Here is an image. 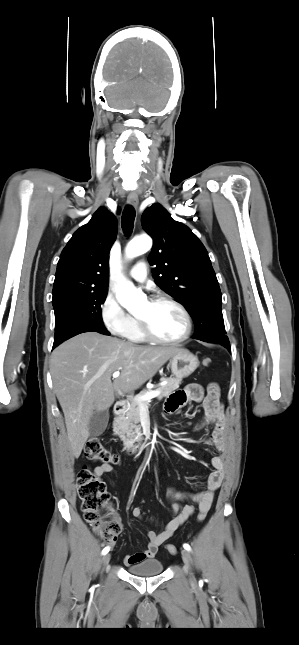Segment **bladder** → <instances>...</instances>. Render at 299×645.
I'll use <instances>...</instances> for the list:
<instances>
[{"label":"bladder","instance_id":"31cf9c89","mask_svg":"<svg viewBox=\"0 0 299 645\" xmlns=\"http://www.w3.org/2000/svg\"><path fill=\"white\" fill-rule=\"evenodd\" d=\"M163 570V564L158 559H148L128 567V571L136 576H154Z\"/></svg>","mask_w":299,"mask_h":645}]
</instances>
